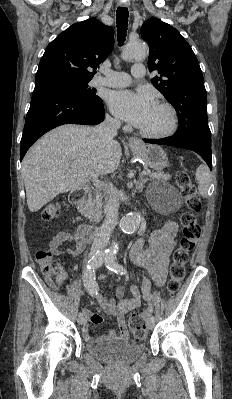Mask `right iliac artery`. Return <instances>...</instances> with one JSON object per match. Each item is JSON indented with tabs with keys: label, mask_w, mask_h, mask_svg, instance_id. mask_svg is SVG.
<instances>
[{
	"label": "right iliac artery",
	"mask_w": 232,
	"mask_h": 399,
	"mask_svg": "<svg viewBox=\"0 0 232 399\" xmlns=\"http://www.w3.org/2000/svg\"><path fill=\"white\" fill-rule=\"evenodd\" d=\"M104 259V255H94L90 257L86 267L83 270L84 287L90 296L98 295L99 287L98 283L96 282L94 270L104 263ZM79 317H83V314L79 313Z\"/></svg>",
	"instance_id": "1"
}]
</instances>
